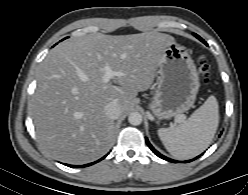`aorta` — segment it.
<instances>
[{"mask_svg": "<svg viewBox=\"0 0 248 195\" xmlns=\"http://www.w3.org/2000/svg\"><path fill=\"white\" fill-rule=\"evenodd\" d=\"M128 121L131 125H140L142 123V115L139 112H132L128 116Z\"/></svg>", "mask_w": 248, "mask_h": 195, "instance_id": "aorta-1", "label": "aorta"}]
</instances>
